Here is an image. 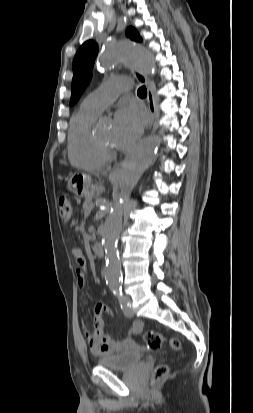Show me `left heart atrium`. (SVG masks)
<instances>
[{
    "label": "left heart atrium",
    "instance_id": "1",
    "mask_svg": "<svg viewBox=\"0 0 253 413\" xmlns=\"http://www.w3.org/2000/svg\"><path fill=\"white\" fill-rule=\"evenodd\" d=\"M144 113L138 106L121 107L114 120L113 142L120 148L131 145L142 133Z\"/></svg>",
    "mask_w": 253,
    "mask_h": 413
}]
</instances>
